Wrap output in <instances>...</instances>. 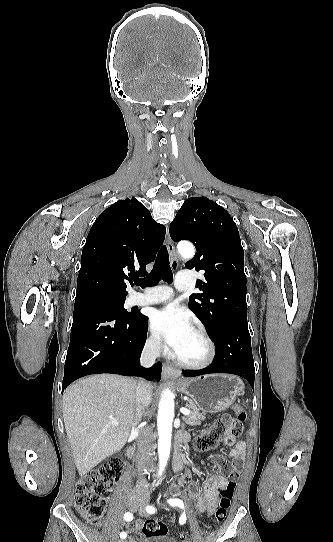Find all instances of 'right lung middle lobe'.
<instances>
[{"mask_svg":"<svg viewBox=\"0 0 333 542\" xmlns=\"http://www.w3.org/2000/svg\"><path fill=\"white\" fill-rule=\"evenodd\" d=\"M88 295L96 296L99 300L109 305L115 312L123 317H134L137 315L135 312H128L124 309V302L126 295H118L108 292H95Z\"/></svg>","mask_w":333,"mask_h":542,"instance_id":"obj_1","label":"right lung middle lobe"}]
</instances>
